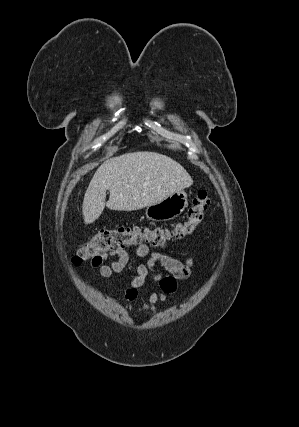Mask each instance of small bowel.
Wrapping results in <instances>:
<instances>
[{"instance_id":"1","label":"small bowel","mask_w":299,"mask_h":427,"mask_svg":"<svg viewBox=\"0 0 299 427\" xmlns=\"http://www.w3.org/2000/svg\"><path fill=\"white\" fill-rule=\"evenodd\" d=\"M135 254L138 257L149 256L150 266L139 265L136 268V276L126 286L124 298L129 302L135 301L138 295V289L145 284L147 277L151 276L159 286L160 291L152 293L148 302L140 311L156 313V303L159 301H166V296L176 291L177 282L187 280L192 275L194 261L192 258H187L184 261L175 259L164 251L150 252L149 247L145 244L137 245ZM128 262V253L126 251H120L117 260L108 264H102L100 261L93 265L98 267L101 277L107 278L115 273L121 272ZM154 266H162L167 273L165 275L154 274L151 268Z\"/></svg>"}]
</instances>
